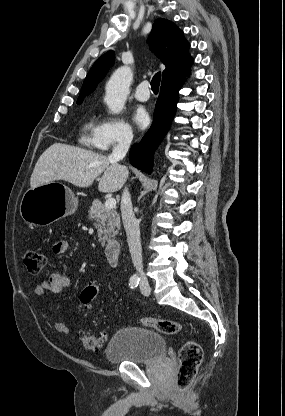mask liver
I'll use <instances>...</instances> for the list:
<instances>
[{
	"instance_id": "liver-1",
	"label": "liver",
	"mask_w": 285,
	"mask_h": 416,
	"mask_svg": "<svg viewBox=\"0 0 285 416\" xmlns=\"http://www.w3.org/2000/svg\"><path fill=\"white\" fill-rule=\"evenodd\" d=\"M100 174L103 176L98 190L103 194L118 192L128 178L125 166L111 164L102 154L66 144H53L40 156L30 178V186L38 188L64 180L78 188H89Z\"/></svg>"
}]
</instances>
